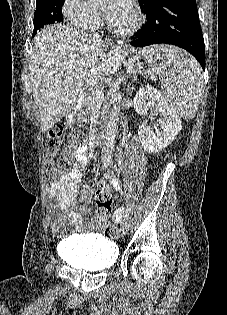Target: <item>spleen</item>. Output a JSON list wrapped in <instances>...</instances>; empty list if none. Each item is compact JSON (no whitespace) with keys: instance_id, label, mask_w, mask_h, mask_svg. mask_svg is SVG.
Here are the masks:
<instances>
[{"instance_id":"obj_1","label":"spleen","mask_w":227,"mask_h":315,"mask_svg":"<svg viewBox=\"0 0 227 315\" xmlns=\"http://www.w3.org/2000/svg\"><path fill=\"white\" fill-rule=\"evenodd\" d=\"M142 56L164 84L162 96L183 119L195 116L203 93L201 67L173 46L146 48Z\"/></svg>"}]
</instances>
